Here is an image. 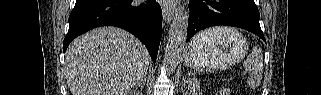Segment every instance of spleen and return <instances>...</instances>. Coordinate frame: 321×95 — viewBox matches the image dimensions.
Listing matches in <instances>:
<instances>
[{"mask_svg": "<svg viewBox=\"0 0 321 95\" xmlns=\"http://www.w3.org/2000/svg\"><path fill=\"white\" fill-rule=\"evenodd\" d=\"M233 29L227 27H214L205 30L197 35L203 38H218L232 32ZM244 68L248 73L247 84L250 88H257L263 77V53L260 47L254 46L244 62Z\"/></svg>", "mask_w": 321, "mask_h": 95, "instance_id": "3e777b00", "label": "spleen"}]
</instances>
